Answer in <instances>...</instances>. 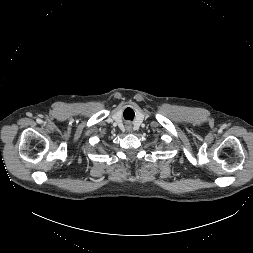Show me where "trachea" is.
Wrapping results in <instances>:
<instances>
[{"instance_id": "1", "label": "trachea", "mask_w": 253, "mask_h": 253, "mask_svg": "<svg viewBox=\"0 0 253 253\" xmlns=\"http://www.w3.org/2000/svg\"><path fill=\"white\" fill-rule=\"evenodd\" d=\"M124 118L125 119H129V120H133L134 118V111L131 108H127L124 111Z\"/></svg>"}]
</instances>
